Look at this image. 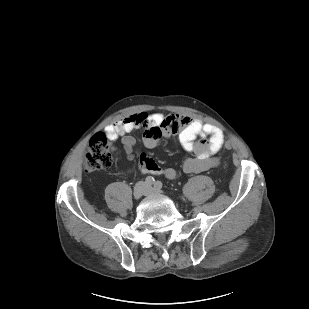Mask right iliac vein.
Returning <instances> with one entry per match:
<instances>
[{
    "instance_id": "right-iliac-vein-1",
    "label": "right iliac vein",
    "mask_w": 309,
    "mask_h": 309,
    "mask_svg": "<svg viewBox=\"0 0 309 309\" xmlns=\"http://www.w3.org/2000/svg\"><path fill=\"white\" fill-rule=\"evenodd\" d=\"M147 188L145 186V184L143 183H138L135 188H134V192H133V196L135 199H140L143 195H147Z\"/></svg>"
}]
</instances>
